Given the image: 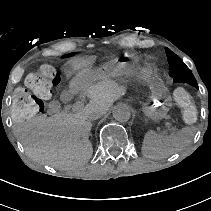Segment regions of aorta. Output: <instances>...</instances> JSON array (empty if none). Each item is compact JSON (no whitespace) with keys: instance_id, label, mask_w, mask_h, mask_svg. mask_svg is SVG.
Returning a JSON list of instances; mask_svg holds the SVG:
<instances>
[{"instance_id":"obj_1","label":"aorta","mask_w":211,"mask_h":211,"mask_svg":"<svg viewBox=\"0 0 211 211\" xmlns=\"http://www.w3.org/2000/svg\"><path fill=\"white\" fill-rule=\"evenodd\" d=\"M113 117L120 122H126L131 117V111L128 105L118 104L112 111Z\"/></svg>"}]
</instances>
